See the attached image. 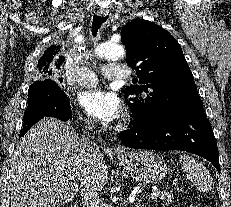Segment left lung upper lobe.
Here are the masks:
<instances>
[{
    "instance_id": "obj_1",
    "label": "left lung upper lobe",
    "mask_w": 231,
    "mask_h": 207,
    "mask_svg": "<svg viewBox=\"0 0 231 207\" xmlns=\"http://www.w3.org/2000/svg\"><path fill=\"white\" fill-rule=\"evenodd\" d=\"M126 61L138 79L125 89L134 120L157 121L203 106L192 72L175 38L147 20H134L121 30Z\"/></svg>"
}]
</instances>
